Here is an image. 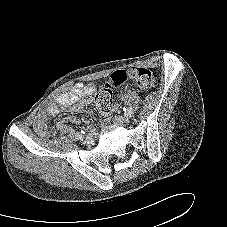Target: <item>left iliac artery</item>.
<instances>
[{
    "mask_svg": "<svg viewBox=\"0 0 227 227\" xmlns=\"http://www.w3.org/2000/svg\"><path fill=\"white\" fill-rule=\"evenodd\" d=\"M123 110L126 116H132V114L134 113V110L131 107L123 108Z\"/></svg>",
    "mask_w": 227,
    "mask_h": 227,
    "instance_id": "left-iliac-artery-1",
    "label": "left iliac artery"
}]
</instances>
